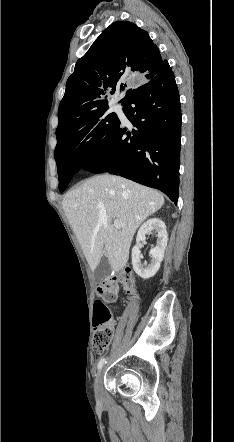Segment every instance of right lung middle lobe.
<instances>
[{"label":"right lung middle lobe","instance_id":"obj_1","mask_svg":"<svg viewBox=\"0 0 234 442\" xmlns=\"http://www.w3.org/2000/svg\"><path fill=\"white\" fill-rule=\"evenodd\" d=\"M119 119L108 107L83 118L76 128L55 149L59 189L63 192L76 172L108 140Z\"/></svg>","mask_w":234,"mask_h":442}]
</instances>
